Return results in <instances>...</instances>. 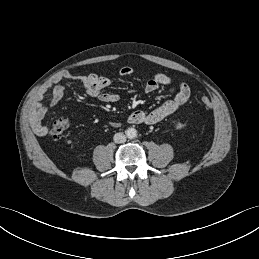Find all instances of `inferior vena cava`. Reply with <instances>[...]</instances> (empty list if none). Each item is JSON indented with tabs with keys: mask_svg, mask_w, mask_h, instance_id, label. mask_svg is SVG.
Instances as JSON below:
<instances>
[{
	"mask_svg": "<svg viewBox=\"0 0 259 259\" xmlns=\"http://www.w3.org/2000/svg\"><path fill=\"white\" fill-rule=\"evenodd\" d=\"M113 140L117 144L124 143L126 141V136L123 133H116Z\"/></svg>",
	"mask_w": 259,
	"mask_h": 259,
	"instance_id": "602c4592",
	"label": "inferior vena cava"
}]
</instances>
